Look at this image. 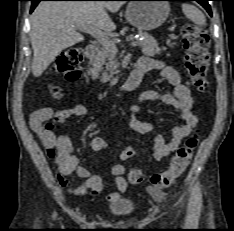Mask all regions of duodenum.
Segmentation results:
<instances>
[{"label":"duodenum","mask_w":234,"mask_h":231,"mask_svg":"<svg viewBox=\"0 0 234 231\" xmlns=\"http://www.w3.org/2000/svg\"><path fill=\"white\" fill-rule=\"evenodd\" d=\"M95 52H96V45L89 44L85 48L84 54L86 57H92L95 54ZM149 70L150 66L137 63L135 69L132 71V73L129 75L128 79L126 80L122 90L124 92H130L135 90L140 84L143 75Z\"/></svg>","instance_id":"duodenum-1"}]
</instances>
